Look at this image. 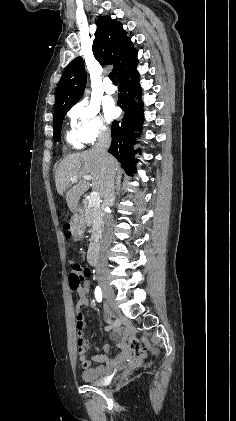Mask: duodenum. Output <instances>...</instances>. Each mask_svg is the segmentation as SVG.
Wrapping results in <instances>:
<instances>
[{
	"label": "duodenum",
	"instance_id": "410a0bca",
	"mask_svg": "<svg viewBox=\"0 0 236 421\" xmlns=\"http://www.w3.org/2000/svg\"><path fill=\"white\" fill-rule=\"evenodd\" d=\"M88 260L92 265H97L98 263V251L95 244H92L89 247L88 250ZM121 345L125 347L124 342H121ZM125 358V354H120L117 358L114 360H110L109 357L106 354H100L93 357V359L97 362H106V367H100L98 369H92L91 375H99V374H108L110 373L121 361H123Z\"/></svg>",
	"mask_w": 236,
	"mask_h": 421
}]
</instances>
